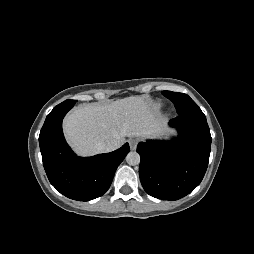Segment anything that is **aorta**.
<instances>
[{
    "instance_id": "1",
    "label": "aorta",
    "mask_w": 254,
    "mask_h": 254,
    "mask_svg": "<svg viewBox=\"0 0 254 254\" xmlns=\"http://www.w3.org/2000/svg\"><path fill=\"white\" fill-rule=\"evenodd\" d=\"M126 161L129 165H138L140 163V155L136 151H131L127 154Z\"/></svg>"
}]
</instances>
